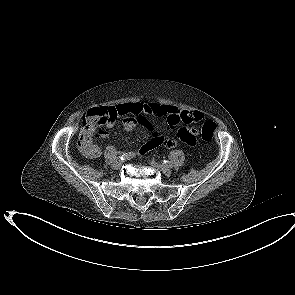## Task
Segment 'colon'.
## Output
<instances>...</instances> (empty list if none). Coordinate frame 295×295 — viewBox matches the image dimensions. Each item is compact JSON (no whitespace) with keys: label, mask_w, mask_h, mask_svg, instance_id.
Here are the masks:
<instances>
[{"label":"colon","mask_w":295,"mask_h":295,"mask_svg":"<svg viewBox=\"0 0 295 295\" xmlns=\"http://www.w3.org/2000/svg\"><path fill=\"white\" fill-rule=\"evenodd\" d=\"M107 116V110L102 108H94L86 114V116L84 117V122L88 124L90 122L102 121L106 119ZM195 124H197L203 140L209 141L212 139L213 134L216 130V124L212 120L202 118L196 121ZM90 143L91 137H89L88 134L82 130L79 136V144L81 149L85 152H88L90 150Z\"/></svg>","instance_id":"1"}]
</instances>
